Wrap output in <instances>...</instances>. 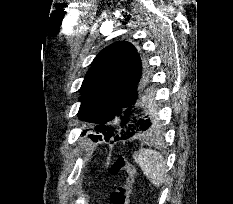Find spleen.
Wrapping results in <instances>:
<instances>
[{
	"mask_svg": "<svg viewBox=\"0 0 233 204\" xmlns=\"http://www.w3.org/2000/svg\"><path fill=\"white\" fill-rule=\"evenodd\" d=\"M133 157L152 185L160 187L165 182L167 165L159 152L153 149H140Z\"/></svg>",
	"mask_w": 233,
	"mask_h": 204,
	"instance_id": "1",
	"label": "spleen"
}]
</instances>
